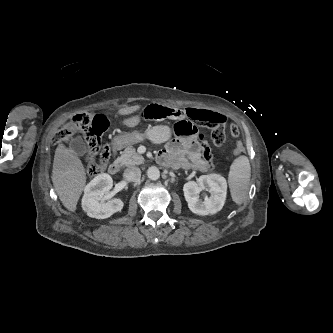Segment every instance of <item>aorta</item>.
Here are the masks:
<instances>
[{
	"instance_id": "762f6f07",
	"label": "aorta",
	"mask_w": 333,
	"mask_h": 333,
	"mask_svg": "<svg viewBox=\"0 0 333 333\" xmlns=\"http://www.w3.org/2000/svg\"><path fill=\"white\" fill-rule=\"evenodd\" d=\"M147 176L151 180H157L160 177V171L157 167L151 166L147 170Z\"/></svg>"
}]
</instances>
